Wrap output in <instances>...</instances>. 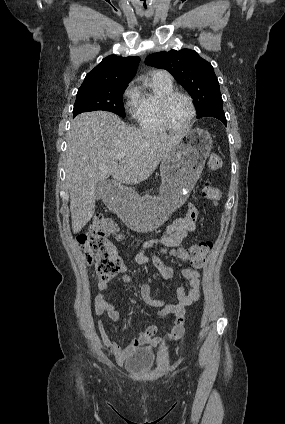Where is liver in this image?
Instances as JSON below:
<instances>
[{
    "mask_svg": "<svg viewBox=\"0 0 285 424\" xmlns=\"http://www.w3.org/2000/svg\"><path fill=\"white\" fill-rule=\"evenodd\" d=\"M183 137L137 129L105 111L75 117L65 153L73 233L80 232L95 213L97 182L109 176L116 185L145 181ZM121 152L126 155L118 162Z\"/></svg>",
    "mask_w": 285,
    "mask_h": 424,
    "instance_id": "obj_1",
    "label": "liver"
}]
</instances>
